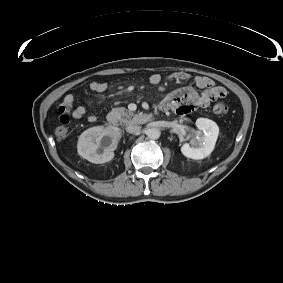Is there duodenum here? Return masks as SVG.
<instances>
[{
    "label": "duodenum",
    "instance_id": "obj_1",
    "mask_svg": "<svg viewBox=\"0 0 283 283\" xmlns=\"http://www.w3.org/2000/svg\"><path fill=\"white\" fill-rule=\"evenodd\" d=\"M162 106V105H161ZM163 107V106H162ZM107 123L112 126V127H115L117 125V119L116 117L112 116V115H109L107 117Z\"/></svg>",
    "mask_w": 283,
    "mask_h": 283
}]
</instances>
